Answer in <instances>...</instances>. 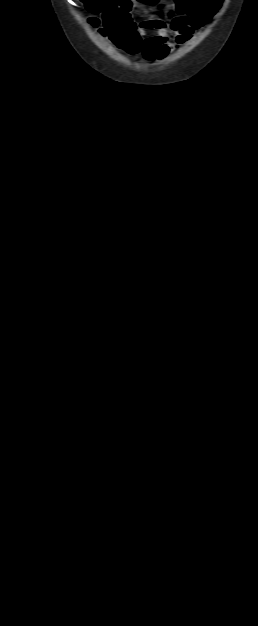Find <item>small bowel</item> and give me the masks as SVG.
<instances>
[{
  "label": "small bowel",
  "instance_id": "1",
  "mask_svg": "<svg viewBox=\"0 0 258 626\" xmlns=\"http://www.w3.org/2000/svg\"><path fill=\"white\" fill-rule=\"evenodd\" d=\"M222 3L223 0H177L162 16L147 19L136 27L121 0H105L104 27L100 32L128 54H142L148 61L161 60L173 48L189 41L217 13ZM91 23L96 26L98 19L92 18ZM131 24L134 25L132 30Z\"/></svg>",
  "mask_w": 258,
  "mask_h": 626
}]
</instances>
